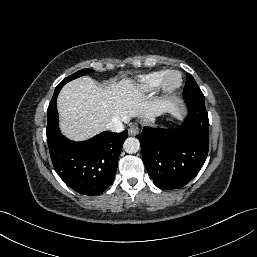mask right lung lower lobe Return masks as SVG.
<instances>
[{"label": "right lung lower lobe", "mask_w": 257, "mask_h": 257, "mask_svg": "<svg viewBox=\"0 0 257 257\" xmlns=\"http://www.w3.org/2000/svg\"><path fill=\"white\" fill-rule=\"evenodd\" d=\"M58 94L54 92L47 110V142L54 169L76 192L87 196L98 195L115 178L118 157L128 132H102L83 142L67 139L58 126Z\"/></svg>", "instance_id": "right-lung-lower-lobe-1"}]
</instances>
